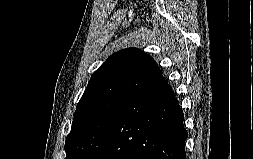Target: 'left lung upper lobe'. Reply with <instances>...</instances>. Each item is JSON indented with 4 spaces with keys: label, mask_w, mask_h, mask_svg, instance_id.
I'll list each match as a JSON object with an SVG mask.
<instances>
[{
    "label": "left lung upper lobe",
    "mask_w": 253,
    "mask_h": 159,
    "mask_svg": "<svg viewBox=\"0 0 253 159\" xmlns=\"http://www.w3.org/2000/svg\"><path fill=\"white\" fill-rule=\"evenodd\" d=\"M161 75L153 58L138 48L112 54L92 74L77 104L65 159H92L120 112Z\"/></svg>",
    "instance_id": "5c2ea615"
}]
</instances>
